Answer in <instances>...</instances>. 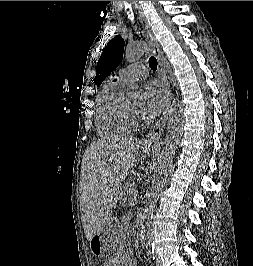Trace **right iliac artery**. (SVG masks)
<instances>
[{"instance_id": "1", "label": "right iliac artery", "mask_w": 253, "mask_h": 266, "mask_svg": "<svg viewBox=\"0 0 253 266\" xmlns=\"http://www.w3.org/2000/svg\"><path fill=\"white\" fill-rule=\"evenodd\" d=\"M148 253L150 255V258L154 261L155 260V255H154V248H149Z\"/></svg>"}]
</instances>
